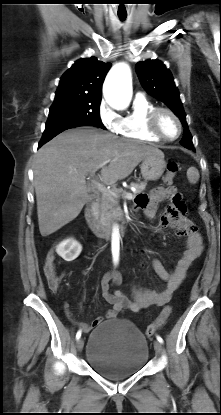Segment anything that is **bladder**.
Returning <instances> with one entry per match:
<instances>
[{
	"mask_svg": "<svg viewBox=\"0 0 221 415\" xmlns=\"http://www.w3.org/2000/svg\"><path fill=\"white\" fill-rule=\"evenodd\" d=\"M86 358L91 368L105 378H127L139 372L147 363L148 342L131 321L111 319L91 332Z\"/></svg>",
	"mask_w": 221,
	"mask_h": 415,
	"instance_id": "31cf9c89",
	"label": "bladder"
}]
</instances>
